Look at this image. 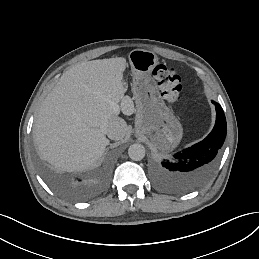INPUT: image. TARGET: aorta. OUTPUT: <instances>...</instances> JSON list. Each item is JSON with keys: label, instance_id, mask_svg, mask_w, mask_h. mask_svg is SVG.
<instances>
[{"label": "aorta", "instance_id": "762f6f07", "mask_svg": "<svg viewBox=\"0 0 259 259\" xmlns=\"http://www.w3.org/2000/svg\"><path fill=\"white\" fill-rule=\"evenodd\" d=\"M128 155L132 160L140 161L145 156V148L139 143L132 144L128 149Z\"/></svg>", "mask_w": 259, "mask_h": 259}]
</instances>
